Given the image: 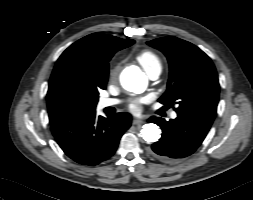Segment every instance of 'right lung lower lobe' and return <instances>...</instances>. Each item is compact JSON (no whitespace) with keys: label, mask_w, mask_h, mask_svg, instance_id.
<instances>
[{"label":"right lung lower lobe","mask_w":253,"mask_h":200,"mask_svg":"<svg viewBox=\"0 0 253 200\" xmlns=\"http://www.w3.org/2000/svg\"><path fill=\"white\" fill-rule=\"evenodd\" d=\"M128 113L108 118L89 112L51 124V131L64 153L77 163L94 166L116 151L123 133L130 127Z\"/></svg>","instance_id":"right-lung-lower-lobe-1"}]
</instances>
